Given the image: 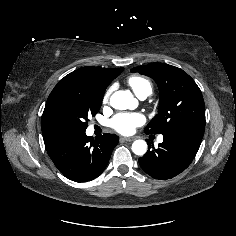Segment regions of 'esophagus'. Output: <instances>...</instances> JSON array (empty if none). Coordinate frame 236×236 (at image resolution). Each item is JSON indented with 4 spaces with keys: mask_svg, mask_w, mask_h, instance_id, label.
Masks as SVG:
<instances>
[{
    "mask_svg": "<svg viewBox=\"0 0 236 236\" xmlns=\"http://www.w3.org/2000/svg\"><path fill=\"white\" fill-rule=\"evenodd\" d=\"M123 141H127V142H132L135 140V137H122L121 138Z\"/></svg>",
    "mask_w": 236,
    "mask_h": 236,
    "instance_id": "esophagus-1",
    "label": "esophagus"
}]
</instances>
